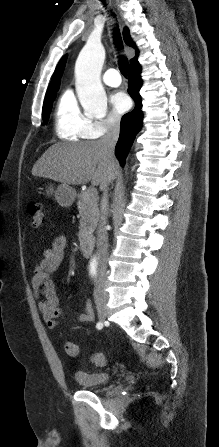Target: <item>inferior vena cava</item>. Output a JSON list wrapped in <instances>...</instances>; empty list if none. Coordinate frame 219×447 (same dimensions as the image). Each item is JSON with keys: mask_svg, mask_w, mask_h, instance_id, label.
Instances as JSON below:
<instances>
[{"mask_svg": "<svg viewBox=\"0 0 219 447\" xmlns=\"http://www.w3.org/2000/svg\"><path fill=\"white\" fill-rule=\"evenodd\" d=\"M119 117H114L113 121L109 122L107 132L102 137L100 142L103 145L104 152L109 160H114V150L119 137ZM108 183H103L100 186L103 191L101 199V214L97 229V250H98V267L97 279L94 289V298L98 301L105 296L104 282L106 279L107 258H108V233L106 231V224L108 219Z\"/></svg>", "mask_w": 219, "mask_h": 447, "instance_id": "obj_1", "label": "inferior vena cava"}]
</instances>
